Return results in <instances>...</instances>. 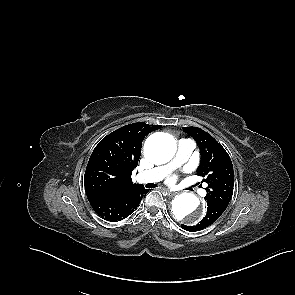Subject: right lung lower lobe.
Wrapping results in <instances>:
<instances>
[{"label": "right lung lower lobe", "mask_w": 295, "mask_h": 295, "mask_svg": "<svg viewBox=\"0 0 295 295\" xmlns=\"http://www.w3.org/2000/svg\"><path fill=\"white\" fill-rule=\"evenodd\" d=\"M146 189L138 188L121 195H87L95 212L105 220L116 222L128 217L137 209L147 194Z\"/></svg>", "instance_id": "right-lung-lower-lobe-1"}]
</instances>
